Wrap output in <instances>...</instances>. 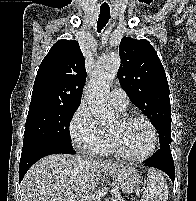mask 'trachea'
I'll return each instance as SVG.
<instances>
[{"label":"trachea","mask_w":196,"mask_h":201,"mask_svg":"<svg viewBox=\"0 0 196 201\" xmlns=\"http://www.w3.org/2000/svg\"><path fill=\"white\" fill-rule=\"evenodd\" d=\"M110 19V8L109 7H100V14L97 21V32H101V30L106 26Z\"/></svg>","instance_id":"1"}]
</instances>
